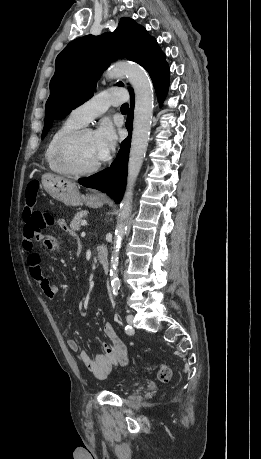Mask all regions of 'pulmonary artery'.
Listing matches in <instances>:
<instances>
[{"label":"pulmonary artery","mask_w":261,"mask_h":459,"mask_svg":"<svg viewBox=\"0 0 261 459\" xmlns=\"http://www.w3.org/2000/svg\"><path fill=\"white\" fill-rule=\"evenodd\" d=\"M125 100V90L109 88L97 93L88 101L73 109L69 117L81 125H86L92 119L104 113L111 105H120Z\"/></svg>","instance_id":"e3ab8cb5"}]
</instances>
